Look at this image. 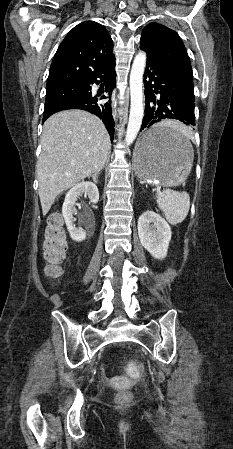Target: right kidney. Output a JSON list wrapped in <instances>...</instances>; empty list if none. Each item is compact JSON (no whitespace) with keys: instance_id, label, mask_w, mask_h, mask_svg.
<instances>
[{"instance_id":"obj_1","label":"right kidney","mask_w":233,"mask_h":449,"mask_svg":"<svg viewBox=\"0 0 233 449\" xmlns=\"http://www.w3.org/2000/svg\"><path fill=\"white\" fill-rule=\"evenodd\" d=\"M87 196L93 204L99 201V191L97 186L89 181H83L71 188L65 196L62 206V214L67 226V230L74 241L81 242L86 239V233L77 229L73 225L74 214H76L75 203L82 195Z\"/></svg>"}]
</instances>
